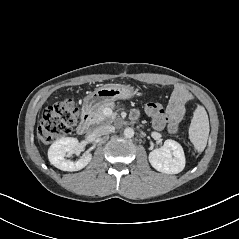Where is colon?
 Segmentation results:
<instances>
[{
  "instance_id": "obj_1",
  "label": "colon",
  "mask_w": 239,
  "mask_h": 239,
  "mask_svg": "<svg viewBox=\"0 0 239 239\" xmlns=\"http://www.w3.org/2000/svg\"><path fill=\"white\" fill-rule=\"evenodd\" d=\"M146 112L150 125L162 133H168L167 117L158 103H148ZM78 120V111L72 100H64L46 108L42 114L37 134L44 143H51L69 134Z\"/></svg>"
}]
</instances>
